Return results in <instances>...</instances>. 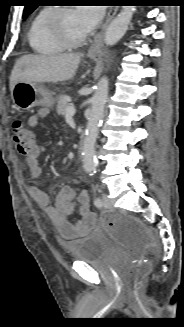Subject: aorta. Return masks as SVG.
<instances>
[{
  "mask_svg": "<svg viewBox=\"0 0 184 327\" xmlns=\"http://www.w3.org/2000/svg\"><path fill=\"white\" fill-rule=\"evenodd\" d=\"M134 12L135 6H123L121 12L111 21L105 31L104 42L106 45H115L125 35ZM108 89L107 77L101 78L91 99V112L83 142V168L88 173L96 170L95 144L100 123L104 117Z\"/></svg>",
  "mask_w": 184,
  "mask_h": 327,
  "instance_id": "aorta-1",
  "label": "aorta"
}]
</instances>
